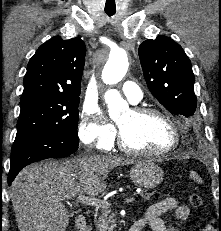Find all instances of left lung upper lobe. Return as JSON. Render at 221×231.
I'll return each mask as SVG.
<instances>
[{
    "label": "left lung upper lobe",
    "mask_w": 221,
    "mask_h": 231,
    "mask_svg": "<svg viewBox=\"0 0 221 231\" xmlns=\"http://www.w3.org/2000/svg\"><path fill=\"white\" fill-rule=\"evenodd\" d=\"M139 58L150 92L172 114L190 117L197 106L194 74L182 47L167 36L145 40Z\"/></svg>",
    "instance_id": "1"
}]
</instances>
